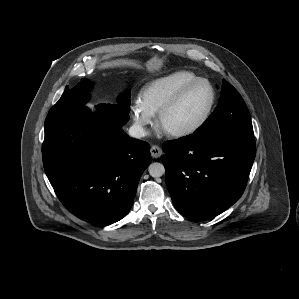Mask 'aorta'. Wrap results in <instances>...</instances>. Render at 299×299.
<instances>
[{
	"label": "aorta",
	"mask_w": 299,
	"mask_h": 299,
	"mask_svg": "<svg viewBox=\"0 0 299 299\" xmlns=\"http://www.w3.org/2000/svg\"><path fill=\"white\" fill-rule=\"evenodd\" d=\"M149 174L154 177L158 178L164 175L165 168L164 165L158 162L151 163L148 167Z\"/></svg>",
	"instance_id": "aorta-1"
}]
</instances>
